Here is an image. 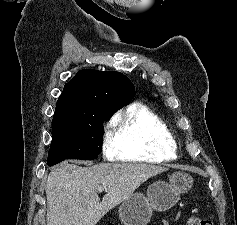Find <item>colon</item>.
Wrapping results in <instances>:
<instances>
[{"label": "colon", "mask_w": 237, "mask_h": 225, "mask_svg": "<svg viewBox=\"0 0 237 225\" xmlns=\"http://www.w3.org/2000/svg\"><path fill=\"white\" fill-rule=\"evenodd\" d=\"M108 225H113V224H108ZM188 225H214V223L208 219L192 216L188 220Z\"/></svg>", "instance_id": "obj_1"}]
</instances>
